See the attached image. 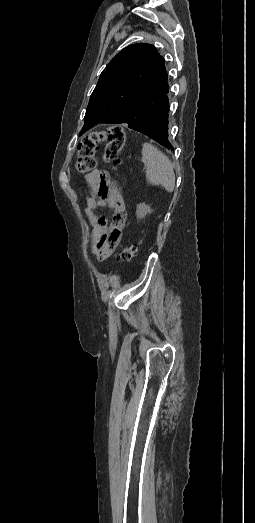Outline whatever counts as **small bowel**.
I'll return each mask as SVG.
<instances>
[{
  "label": "small bowel",
  "mask_w": 255,
  "mask_h": 523,
  "mask_svg": "<svg viewBox=\"0 0 255 523\" xmlns=\"http://www.w3.org/2000/svg\"><path fill=\"white\" fill-rule=\"evenodd\" d=\"M91 189L85 198L84 212L92 226V253L97 260L109 259L118 246L125 228L127 213L118 185L105 171L94 170L86 176ZM108 207L113 211L112 223L97 213L98 208Z\"/></svg>",
  "instance_id": "c3829d8e"
}]
</instances>
